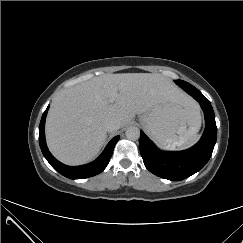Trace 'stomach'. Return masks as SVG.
I'll use <instances>...</instances> for the list:
<instances>
[{
    "label": "stomach",
    "mask_w": 243,
    "mask_h": 243,
    "mask_svg": "<svg viewBox=\"0 0 243 243\" xmlns=\"http://www.w3.org/2000/svg\"><path fill=\"white\" fill-rule=\"evenodd\" d=\"M139 121L148 134L166 148L189 140L197 133L201 122L198 106L192 100L183 104L159 102L141 115Z\"/></svg>",
    "instance_id": "0dacf381"
}]
</instances>
